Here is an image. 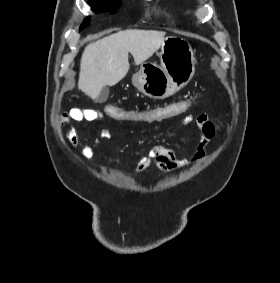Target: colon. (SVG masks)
Here are the masks:
<instances>
[{"label": "colon", "instance_id": "1", "mask_svg": "<svg viewBox=\"0 0 280 283\" xmlns=\"http://www.w3.org/2000/svg\"><path fill=\"white\" fill-rule=\"evenodd\" d=\"M194 95L189 94L188 97H181L175 99L174 103H165L162 105H155V107L144 108L128 107L120 108V103H106L104 107V115L109 116V119H120L121 122H136L144 125H154L155 122H166L167 119H176V116H183V112H190L192 108V101ZM80 111L74 109L69 111L66 115Z\"/></svg>", "mask_w": 280, "mask_h": 283}]
</instances>
